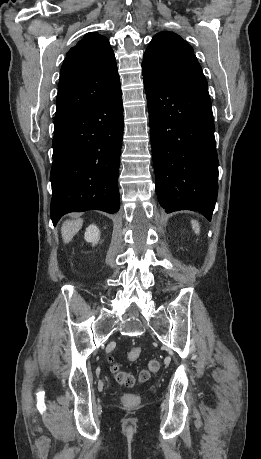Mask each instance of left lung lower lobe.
Returning a JSON list of instances; mask_svg holds the SVG:
<instances>
[{
	"label": "left lung lower lobe",
	"mask_w": 261,
	"mask_h": 459,
	"mask_svg": "<svg viewBox=\"0 0 261 459\" xmlns=\"http://www.w3.org/2000/svg\"><path fill=\"white\" fill-rule=\"evenodd\" d=\"M142 73L159 203L167 213L198 211L210 221L218 193V157L208 86Z\"/></svg>",
	"instance_id": "0a47b994"
}]
</instances>
